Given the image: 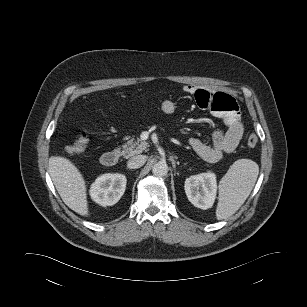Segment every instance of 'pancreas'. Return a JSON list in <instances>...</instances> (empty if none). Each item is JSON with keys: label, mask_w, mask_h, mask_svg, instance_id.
Masks as SVG:
<instances>
[{"label": "pancreas", "mask_w": 307, "mask_h": 307, "mask_svg": "<svg viewBox=\"0 0 307 307\" xmlns=\"http://www.w3.org/2000/svg\"><path fill=\"white\" fill-rule=\"evenodd\" d=\"M149 147L148 143L141 139H130L126 144L122 146L121 155L125 158H129L135 154H140Z\"/></svg>", "instance_id": "pancreas-1"}]
</instances>
